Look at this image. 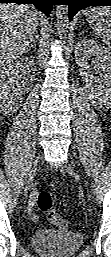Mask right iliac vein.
I'll return each mask as SVG.
<instances>
[{
  "mask_svg": "<svg viewBox=\"0 0 111 257\" xmlns=\"http://www.w3.org/2000/svg\"><path fill=\"white\" fill-rule=\"evenodd\" d=\"M38 162H39V157H37L34 161V164H33V167H32V170L29 174V178H28V181H27V184H26V187H25V192H27L30 188V185L35 177V174H36V170H37V165H38Z\"/></svg>",
  "mask_w": 111,
  "mask_h": 257,
  "instance_id": "right-iliac-vein-1",
  "label": "right iliac vein"
}]
</instances>
